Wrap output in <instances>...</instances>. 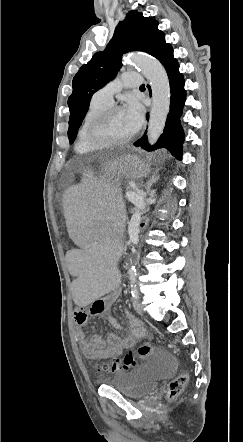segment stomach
<instances>
[{"mask_svg":"<svg viewBox=\"0 0 243 442\" xmlns=\"http://www.w3.org/2000/svg\"><path fill=\"white\" fill-rule=\"evenodd\" d=\"M108 168L107 172H102L101 175H112L113 177L135 178L138 171H145L143 162L134 155H124L116 160L109 161L105 164Z\"/></svg>","mask_w":243,"mask_h":442,"instance_id":"1","label":"stomach"}]
</instances>
